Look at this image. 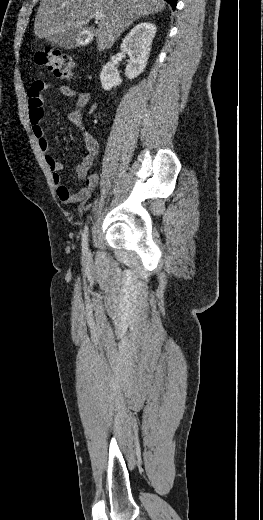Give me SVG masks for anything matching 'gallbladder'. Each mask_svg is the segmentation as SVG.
<instances>
[{
	"mask_svg": "<svg viewBox=\"0 0 263 520\" xmlns=\"http://www.w3.org/2000/svg\"><path fill=\"white\" fill-rule=\"evenodd\" d=\"M83 28L76 29L73 33L69 34H57L54 35L51 39V43L54 46L65 48V49H74L79 47L80 38L83 33Z\"/></svg>",
	"mask_w": 263,
	"mask_h": 520,
	"instance_id": "bac80fb5",
	"label": "gallbladder"
}]
</instances>
